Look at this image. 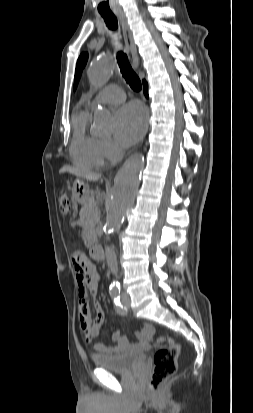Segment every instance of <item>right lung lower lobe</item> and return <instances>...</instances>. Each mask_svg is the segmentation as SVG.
Returning a JSON list of instances; mask_svg holds the SVG:
<instances>
[{
  "mask_svg": "<svg viewBox=\"0 0 253 413\" xmlns=\"http://www.w3.org/2000/svg\"><path fill=\"white\" fill-rule=\"evenodd\" d=\"M143 85H144V93L147 95V90H148V84L146 83V81H143Z\"/></svg>",
  "mask_w": 253,
  "mask_h": 413,
  "instance_id": "1",
  "label": "right lung lower lobe"
}]
</instances>
